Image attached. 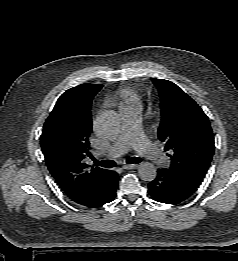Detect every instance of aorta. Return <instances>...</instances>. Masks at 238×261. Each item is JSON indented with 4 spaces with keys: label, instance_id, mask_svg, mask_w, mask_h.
Returning <instances> with one entry per match:
<instances>
[{
    "label": "aorta",
    "instance_id": "762f6f07",
    "mask_svg": "<svg viewBox=\"0 0 238 261\" xmlns=\"http://www.w3.org/2000/svg\"><path fill=\"white\" fill-rule=\"evenodd\" d=\"M95 129L103 138L113 139L120 130V118L115 112H106L96 120ZM138 174L144 181H153L157 171L152 163L144 162L140 165Z\"/></svg>",
    "mask_w": 238,
    "mask_h": 261
}]
</instances>
